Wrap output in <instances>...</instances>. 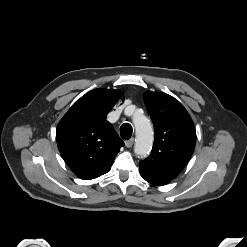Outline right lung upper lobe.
<instances>
[{
	"label": "right lung upper lobe",
	"instance_id": "cb5924a9",
	"mask_svg": "<svg viewBox=\"0 0 247 247\" xmlns=\"http://www.w3.org/2000/svg\"><path fill=\"white\" fill-rule=\"evenodd\" d=\"M119 98V90L94 89L78 99L58 123V149L69 168L83 180L107 173L124 145L106 121Z\"/></svg>",
	"mask_w": 247,
	"mask_h": 247
}]
</instances>
